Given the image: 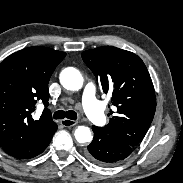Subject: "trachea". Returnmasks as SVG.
I'll use <instances>...</instances> for the list:
<instances>
[{
    "instance_id": "3493384b",
    "label": "trachea",
    "mask_w": 183,
    "mask_h": 183,
    "mask_svg": "<svg viewBox=\"0 0 183 183\" xmlns=\"http://www.w3.org/2000/svg\"><path fill=\"white\" fill-rule=\"evenodd\" d=\"M54 119H70V120H76L77 119V113L75 111L69 110V111H63L58 110L53 115Z\"/></svg>"
}]
</instances>
